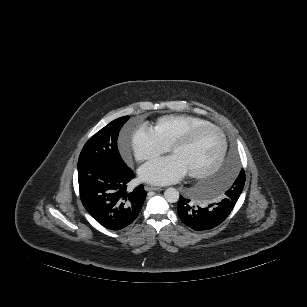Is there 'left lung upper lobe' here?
Listing matches in <instances>:
<instances>
[{"mask_svg":"<svg viewBox=\"0 0 307 307\" xmlns=\"http://www.w3.org/2000/svg\"><path fill=\"white\" fill-rule=\"evenodd\" d=\"M244 183H245V172L242 169L238 175V177L236 178V180L234 181V183L232 184V186L228 189V191L225 193L227 195H233L236 198H239L243 187H244Z\"/></svg>","mask_w":307,"mask_h":307,"instance_id":"left-lung-upper-lobe-1","label":"left lung upper lobe"}]
</instances>
